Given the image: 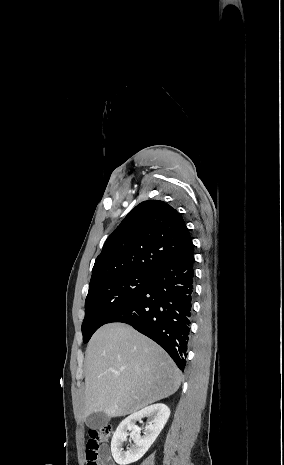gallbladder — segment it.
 Instances as JSON below:
<instances>
[{"label":"gallbladder","instance_id":"gallbladder-1","mask_svg":"<svg viewBox=\"0 0 284 465\" xmlns=\"http://www.w3.org/2000/svg\"><path fill=\"white\" fill-rule=\"evenodd\" d=\"M110 419L105 413H93L87 417L85 423L90 429H102L105 425H108Z\"/></svg>","mask_w":284,"mask_h":465}]
</instances>
